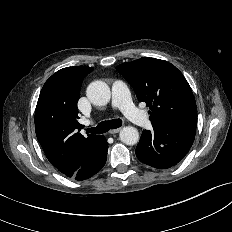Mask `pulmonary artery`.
Segmentation results:
<instances>
[{"mask_svg": "<svg viewBox=\"0 0 232 232\" xmlns=\"http://www.w3.org/2000/svg\"><path fill=\"white\" fill-rule=\"evenodd\" d=\"M112 105L119 108L133 123L142 127L150 126L149 118L134 106L129 89L122 81H115L112 86Z\"/></svg>", "mask_w": 232, "mask_h": 232, "instance_id": "pulmonary-artery-1", "label": "pulmonary artery"}]
</instances>
